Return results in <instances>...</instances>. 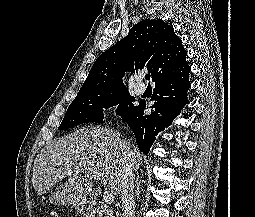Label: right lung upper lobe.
I'll return each instance as SVG.
<instances>
[{
  "instance_id": "right-lung-upper-lobe-1",
  "label": "right lung upper lobe",
  "mask_w": 255,
  "mask_h": 217,
  "mask_svg": "<svg viewBox=\"0 0 255 217\" xmlns=\"http://www.w3.org/2000/svg\"><path fill=\"white\" fill-rule=\"evenodd\" d=\"M187 52L173 27L162 20L145 19L94 62L78 93L125 88L126 71L147 68L152 79L170 72L186 59Z\"/></svg>"
}]
</instances>
